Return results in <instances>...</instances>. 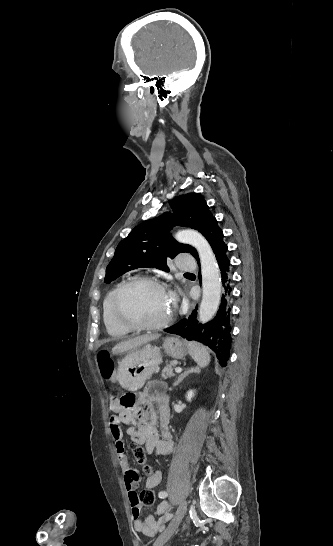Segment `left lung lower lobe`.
Returning <instances> with one entry per match:
<instances>
[{"mask_svg": "<svg viewBox=\"0 0 333 546\" xmlns=\"http://www.w3.org/2000/svg\"><path fill=\"white\" fill-rule=\"evenodd\" d=\"M207 241L216 255L221 271V280L226 291V295L222 297L220 308L215 318L210 322L205 324L198 323L196 319L197 311L194 310L187 319H182L164 331L207 345L216 353L219 364L224 367L227 365L231 346L230 307L228 303V296L231 292V288L228 286L230 261L226 255L227 245L223 241V232L219 228L217 221H214ZM195 258L199 263L198 254Z\"/></svg>", "mask_w": 333, "mask_h": 546, "instance_id": "1", "label": "left lung lower lobe"}]
</instances>
